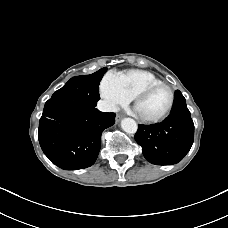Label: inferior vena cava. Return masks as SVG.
Returning <instances> with one entry per match:
<instances>
[{"label":"inferior vena cava","mask_w":228,"mask_h":228,"mask_svg":"<svg viewBox=\"0 0 228 228\" xmlns=\"http://www.w3.org/2000/svg\"><path fill=\"white\" fill-rule=\"evenodd\" d=\"M97 108L102 112H117V107L114 103L107 100H100L97 104Z\"/></svg>","instance_id":"602c4592"}]
</instances>
